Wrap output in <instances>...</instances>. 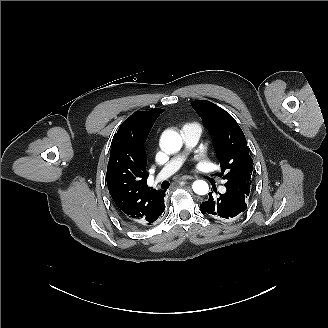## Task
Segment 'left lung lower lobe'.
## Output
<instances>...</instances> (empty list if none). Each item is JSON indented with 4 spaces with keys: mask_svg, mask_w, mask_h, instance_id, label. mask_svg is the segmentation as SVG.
I'll return each mask as SVG.
<instances>
[{
    "mask_svg": "<svg viewBox=\"0 0 328 328\" xmlns=\"http://www.w3.org/2000/svg\"><path fill=\"white\" fill-rule=\"evenodd\" d=\"M246 208L247 205L244 200L228 192L219 194L217 198L212 196V192H209L208 201L202 202L200 205L202 213L224 221L234 219V217L245 211Z\"/></svg>",
    "mask_w": 328,
    "mask_h": 328,
    "instance_id": "obj_1",
    "label": "left lung lower lobe"
}]
</instances>
